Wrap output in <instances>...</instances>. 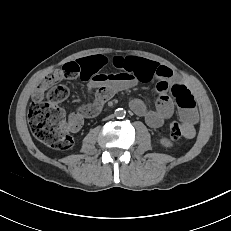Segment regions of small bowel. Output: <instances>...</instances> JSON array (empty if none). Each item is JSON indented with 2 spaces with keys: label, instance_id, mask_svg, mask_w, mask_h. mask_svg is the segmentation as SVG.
Masks as SVG:
<instances>
[{
  "label": "small bowel",
  "instance_id": "1",
  "mask_svg": "<svg viewBox=\"0 0 231 231\" xmlns=\"http://www.w3.org/2000/svg\"><path fill=\"white\" fill-rule=\"evenodd\" d=\"M70 63L78 66L77 76L87 82L88 91L94 96L92 103L80 107L77 113L82 117V121L78 126L70 128V131H78L82 126L83 118L97 115L103 105L117 92L132 88L140 82L155 79L158 93L155 106L150 107L142 99L135 98L130 101L131 110L143 117L151 128H159L173 116L174 102L172 98H174L184 127V136L186 138L195 136L198 112L194 97L188 86L170 68L135 56L108 58L103 55H93ZM107 67H114L116 71L105 72ZM64 77L67 76L63 70L54 72L41 83L34 93V98L41 99L49 85Z\"/></svg>",
  "mask_w": 231,
  "mask_h": 231
}]
</instances>
